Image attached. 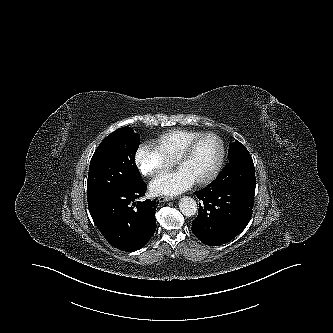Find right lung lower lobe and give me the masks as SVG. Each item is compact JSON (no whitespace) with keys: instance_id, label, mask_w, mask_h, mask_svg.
<instances>
[{"instance_id":"1","label":"right lung lower lobe","mask_w":333,"mask_h":333,"mask_svg":"<svg viewBox=\"0 0 333 333\" xmlns=\"http://www.w3.org/2000/svg\"><path fill=\"white\" fill-rule=\"evenodd\" d=\"M141 182L125 190L88 202L91 217L111 246L126 252L141 249L156 230L155 210L158 201H137L144 196Z\"/></svg>"}]
</instances>
